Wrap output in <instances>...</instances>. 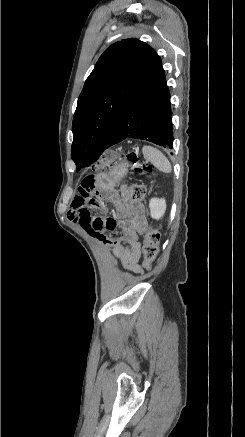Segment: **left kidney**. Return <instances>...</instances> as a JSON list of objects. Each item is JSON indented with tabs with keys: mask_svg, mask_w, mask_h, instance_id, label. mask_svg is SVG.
Masks as SVG:
<instances>
[{
	"mask_svg": "<svg viewBox=\"0 0 245 437\" xmlns=\"http://www.w3.org/2000/svg\"><path fill=\"white\" fill-rule=\"evenodd\" d=\"M150 215L153 219L159 220L166 211V201L161 198H152L149 202Z\"/></svg>",
	"mask_w": 245,
	"mask_h": 437,
	"instance_id": "left-kidney-1",
	"label": "left kidney"
}]
</instances>
